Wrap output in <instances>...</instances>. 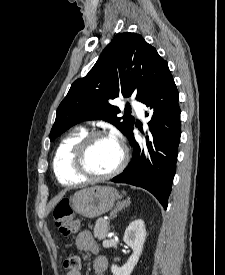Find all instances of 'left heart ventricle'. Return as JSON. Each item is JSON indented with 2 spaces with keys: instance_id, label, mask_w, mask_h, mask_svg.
Listing matches in <instances>:
<instances>
[{
  "instance_id": "left-heart-ventricle-1",
  "label": "left heart ventricle",
  "mask_w": 225,
  "mask_h": 275,
  "mask_svg": "<svg viewBox=\"0 0 225 275\" xmlns=\"http://www.w3.org/2000/svg\"><path fill=\"white\" fill-rule=\"evenodd\" d=\"M120 158L121 149L118 142L111 138H100L90 146L85 161L92 173L102 175L115 169Z\"/></svg>"
}]
</instances>
